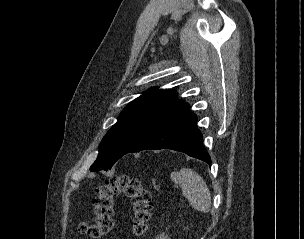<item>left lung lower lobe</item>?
<instances>
[{
	"label": "left lung lower lobe",
	"instance_id": "left-lung-lower-lobe-1",
	"mask_svg": "<svg viewBox=\"0 0 304 239\" xmlns=\"http://www.w3.org/2000/svg\"><path fill=\"white\" fill-rule=\"evenodd\" d=\"M196 121V115L187 109L157 128L127 153L146 149H172L211 165L210 156L202 143V134L196 126Z\"/></svg>",
	"mask_w": 304,
	"mask_h": 239
}]
</instances>
